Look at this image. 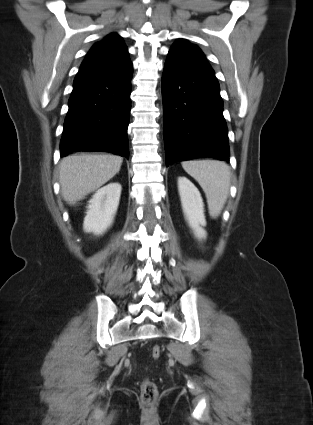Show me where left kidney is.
Returning a JSON list of instances; mask_svg holds the SVG:
<instances>
[{
  "label": "left kidney",
  "mask_w": 313,
  "mask_h": 425,
  "mask_svg": "<svg viewBox=\"0 0 313 425\" xmlns=\"http://www.w3.org/2000/svg\"><path fill=\"white\" fill-rule=\"evenodd\" d=\"M178 190L185 218L198 239L206 238L204 203L200 192L186 177L178 178Z\"/></svg>",
  "instance_id": "obj_1"
}]
</instances>
